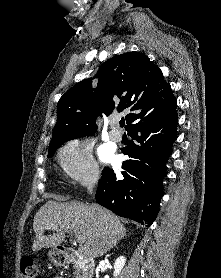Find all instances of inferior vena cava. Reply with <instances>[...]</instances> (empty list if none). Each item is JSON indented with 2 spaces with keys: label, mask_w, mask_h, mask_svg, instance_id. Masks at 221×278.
Listing matches in <instances>:
<instances>
[{
  "label": "inferior vena cava",
  "mask_w": 221,
  "mask_h": 278,
  "mask_svg": "<svg viewBox=\"0 0 221 278\" xmlns=\"http://www.w3.org/2000/svg\"><path fill=\"white\" fill-rule=\"evenodd\" d=\"M98 180H99V173L94 172L87 183V189L89 192H93Z\"/></svg>",
  "instance_id": "obj_1"
}]
</instances>
